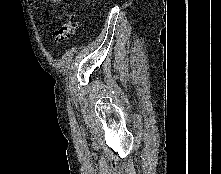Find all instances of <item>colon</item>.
<instances>
[{
  "mask_svg": "<svg viewBox=\"0 0 221 174\" xmlns=\"http://www.w3.org/2000/svg\"><path fill=\"white\" fill-rule=\"evenodd\" d=\"M78 28V23L73 16H68L65 20H63L56 32H55V40L58 43L67 42L69 39L75 36Z\"/></svg>",
  "mask_w": 221,
  "mask_h": 174,
  "instance_id": "obj_1",
  "label": "colon"
}]
</instances>
